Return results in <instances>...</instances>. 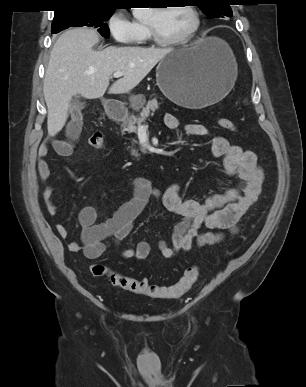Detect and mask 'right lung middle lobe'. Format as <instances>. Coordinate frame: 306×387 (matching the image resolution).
<instances>
[{"mask_svg":"<svg viewBox=\"0 0 306 387\" xmlns=\"http://www.w3.org/2000/svg\"><path fill=\"white\" fill-rule=\"evenodd\" d=\"M113 9L71 8L54 15L51 32L58 33L69 27L87 26L97 28L105 38H109L106 21L113 14Z\"/></svg>","mask_w":306,"mask_h":387,"instance_id":"dd1d6c3e","label":"right lung middle lobe"}]
</instances>
